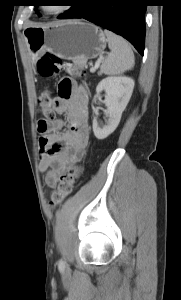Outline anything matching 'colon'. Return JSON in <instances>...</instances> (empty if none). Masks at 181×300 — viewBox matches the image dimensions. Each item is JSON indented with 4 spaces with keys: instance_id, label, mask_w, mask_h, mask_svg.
Instances as JSON below:
<instances>
[{
    "instance_id": "5ec220e1",
    "label": "colon",
    "mask_w": 181,
    "mask_h": 300,
    "mask_svg": "<svg viewBox=\"0 0 181 300\" xmlns=\"http://www.w3.org/2000/svg\"><path fill=\"white\" fill-rule=\"evenodd\" d=\"M39 74L44 78H52L60 71H65L70 76L81 77L84 75V69L75 64L61 60L53 54L44 55L37 63ZM40 111L45 119L38 122V131L45 134L48 128V122L55 118L53 99L50 90L44 91L38 98ZM83 173V167L77 166L70 168L67 172L61 174L58 178L55 190L51 194L50 205L57 206L62 203L73 191L75 183L80 179Z\"/></svg>"
}]
</instances>
